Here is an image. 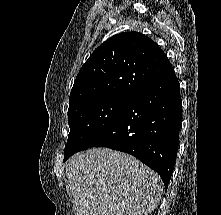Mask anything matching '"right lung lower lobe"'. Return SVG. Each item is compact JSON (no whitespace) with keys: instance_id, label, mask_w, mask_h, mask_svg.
Here are the masks:
<instances>
[{"instance_id":"right-lung-lower-lobe-1","label":"right lung lower lobe","mask_w":221,"mask_h":215,"mask_svg":"<svg viewBox=\"0 0 221 215\" xmlns=\"http://www.w3.org/2000/svg\"><path fill=\"white\" fill-rule=\"evenodd\" d=\"M180 125V84L172 68L135 93L90 147H108L135 156L155 170L167 187L177 154Z\"/></svg>"}]
</instances>
